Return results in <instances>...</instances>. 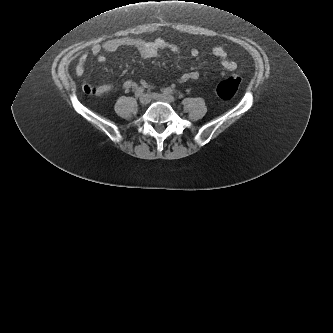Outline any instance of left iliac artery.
I'll return each instance as SVG.
<instances>
[{
  "instance_id": "obj_1",
  "label": "left iliac artery",
  "mask_w": 333,
  "mask_h": 333,
  "mask_svg": "<svg viewBox=\"0 0 333 333\" xmlns=\"http://www.w3.org/2000/svg\"><path fill=\"white\" fill-rule=\"evenodd\" d=\"M176 92H177L176 90H174V89H172V88H170V87H167V88H165V89L163 90V93L166 94V95L174 94V93H176ZM179 95L182 96L181 93H179Z\"/></svg>"
}]
</instances>
